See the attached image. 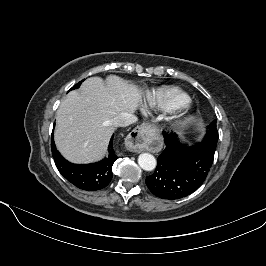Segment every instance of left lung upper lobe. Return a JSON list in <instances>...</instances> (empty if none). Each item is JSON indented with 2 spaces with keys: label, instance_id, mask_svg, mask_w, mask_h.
I'll return each mask as SVG.
<instances>
[{
  "label": "left lung upper lobe",
  "instance_id": "1",
  "mask_svg": "<svg viewBox=\"0 0 266 266\" xmlns=\"http://www.w3.org/2000/svg\"><path fill=\"white\" fill-rule=\"evenodd\" d=\"M217 141H218V131L216 128V121H213L206 132L203 143L206 145H210L213 148V150H215Z\"/></svg>",
  "mask_w": 266,
  "mask_h": 266
}]
</instances>
